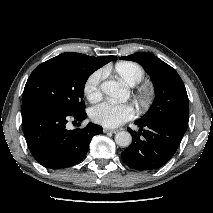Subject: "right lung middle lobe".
<instances>
[{
	"mask_svg": "<svg viewBox=\"0 0 213 213\" xmlns=\"http://www.w3.org/2000/svg\"><path fill=\"white\" fill-rule=\"evenodd\" d=\"M96 69L88 62L69 53L51 58L31 73L22 100L37 98L67 114L84 112V86Z\"/></svg>",
	"mask_w": 213,
	"mask_h": 213,
	"instance_id": "dd1d6c3e",
	"label": "right lung middle lobe"
}]
</instances>
